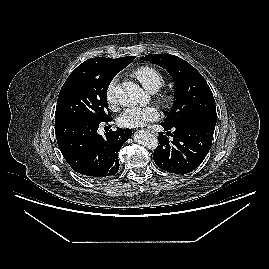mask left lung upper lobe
Instances as JSON below:
<instances>
[{
  "mask_svg": "<svg viewBox=\"0 0 269 269\" xmlns=\"http://www.w3.org/2000/svg\"><path fill=\"white\" fill-rule=\"evenodd\" d=\"M141 59L165 68L175 82L176 101L171 113L161 124L172 128L200 118L216 119L212 91L191 64L171 54H150Z\"/></svg>",
  "mask_w": 269,
  "mask_h": 269,
  "instance_id": "obj_1",
  "label": "left lung upper lobe"
}]
</instances>
